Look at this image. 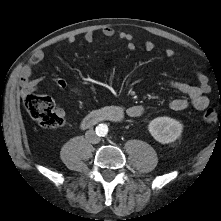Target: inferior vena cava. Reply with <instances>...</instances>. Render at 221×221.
<instances>
[{"mask_svg": "<svg viewBox=\"0 0 221 221\" xmlns=\"http://www.w3.org/2000/svg\"><path fill=\"white\" fill-rule=\"evenodd\" d=\"M85 138L92 144H97L100 142L99 136L95 133L94 130H88L85 133Z\"/></svg>", "mask_w": 221, "mask_h": 221, "instance_id": "1", "label": "inferior vena cava"}]
</instances>
